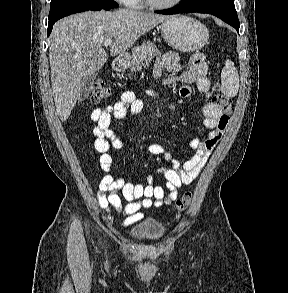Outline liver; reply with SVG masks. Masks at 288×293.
Segmentation results:
<instances>
[{"instance_id": "obj_1", "label": "liver", "mask_w": 288, "mask_h": 293, "mask_svg": "<svg viewBox=\"0 0 288 293\" xmlns=\"http://www.w3.org/2000/svg\"><path fill=\"white\" fill-rule=\"evenodd\" d=\"M168 16L129 9L84 12L57 21L49 47L56 112L68 119L79 99L82 80L107 61L104 41L114 37L110 55H122L136 40Z\"/></svg>"}]
</instances>
